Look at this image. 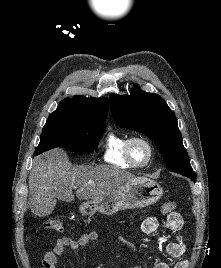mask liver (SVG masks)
Instances as JSON below:
<instances>
[{
  "instance_id": "6515ba94",
  "label": "liver",
  "mask_w": 221,
  "mask_h": 268,
  "mask_svg": "<svg viewBox=\"0 0 221 268\" xmlns=\"http://www.w3.org/2000/svg\"><path fill=\"white\" fill-rule=\"evenodd\" d=\"M135 176L111 166L72 167L62 149H53L36 157L29 175V207L37 216L49 215L57 199L74 200L73 188L79 186L76 197L93 200L115 191Z\"/></svg>"
}]
</instances>
